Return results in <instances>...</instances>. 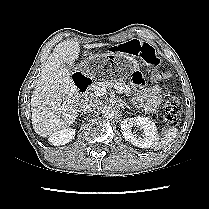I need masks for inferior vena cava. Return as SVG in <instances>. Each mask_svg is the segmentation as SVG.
I'll return each instance as SVG.
<instances>
[{
    "mask_svg": "<svg viewBox=\"0 0 209 209\" xmlns=\"http://www.w3.org/2000/svg\"><path fill=\"white\" fill-rule=\"evenodd\" d=\"M99 101L95 98H87L83 101L82 108L85 113H91L98 109Z\"/></svg>",
    "mask_w": 209,
    "mask_h": 209,
    "instance_id": "inferior-vena-cava-1",
    "label": "inferior vena cava"
}]
</instances>
